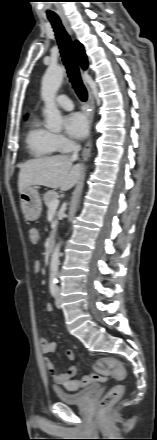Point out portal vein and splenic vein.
<instances>
[{
  "label": "portal vein and splenic vein",
  "instance_id": "18ae733b",
  "mask_svg": "<svg viewBox=\"0 0 157 440\" xmlns=\"http://www.w3.org/2000/svg\"><path fill=\"white\" fill-rule=\"evenodd\" d=\"M58 206H59V200L58 199H55V200H53L50 204H49V211H56V209L58 208Z\"/></svg>",
  "mask_w": 157,
  "mask_h": 440
}]
</instances>
